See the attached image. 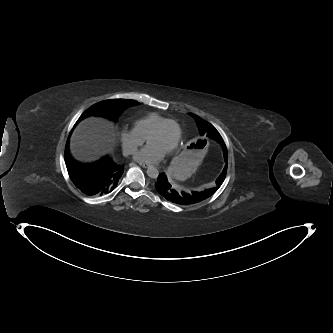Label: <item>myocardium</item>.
Listing matches in <instances>:
<instances>
[{
    "label": "myocardium",
    "mask_w": 333,
    "mask_h": 333,
    "mask_svg": "<svg viewBox=\"0 0 333 333\" xmlns=\"http://www.w3.org/2000/svg\"><path fill=\"white\" fill-rule=\"evenodd\" d=\"M170 124H173L176 126L177 128V131H178V136H177V139L176 141L173 143V145L168 149V152H171L173 151L177 146H178V143H179V138H180V125L179 123L174 120V119H168L164 122H162L159 126H157L150 134L149 136L147 137V141L149 142L150 139L155 136V135H158L160 134L165 128L166 126L170 125Z\"/></svg>",
    "instance_id": "obj_1"
}]
</instances>
